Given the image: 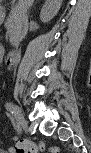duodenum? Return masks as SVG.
Returning a JSON list of instances; mask_svg holds the SVG:
<instances>
[{
  "label": "duodenum",
  "instance_id": "410a0bca",
  "mask_svg": "<svg viewBox=\"0 0 91 153\" xmlns=\"http://www.w3.org/2000/svg\"><path fill=\"white\" fill-rule=\"evenodd\" d=\"M19 55H20V50L19 49L10 50L6 54L5 60L8 64H11V63L16 61V59L19 57Z\"/></svg>",
  "mask_w": 91,
  "mask_h": 153
}]
</instances>
